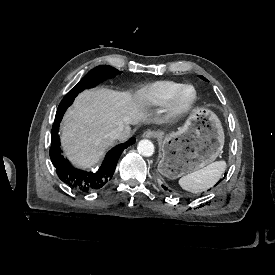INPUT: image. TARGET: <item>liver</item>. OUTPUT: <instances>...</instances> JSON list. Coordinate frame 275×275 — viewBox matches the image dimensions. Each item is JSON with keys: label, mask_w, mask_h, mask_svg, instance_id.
<instances>
[{"label": "liver", "mask_w": 275, "mask_h": 275, "mask_svg": "<svg viewBox=\"0 0 275 275\" xmlns=\"http://www.w3.org/2000/svg\"><path fill=\"white\" fill-rule=\"evenodd\" d=\"M138 94L118 93L105 89L86 91L76 99L64 119L62 144L73 162L81 167L95 164L103 151L114 143L106 134L119 126L123 141L129 136L128 125L144 118Z\"/></svg>", "instance_id": "obj_1"}]
</instances>
